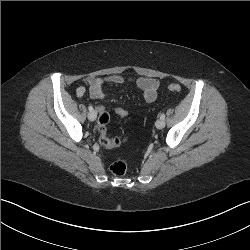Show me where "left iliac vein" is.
<instances>
[{"label":"left iliac vein","mask_w":250,"mask_h":250,"mask_svg":"<svg viewBox=\"0 0 250 250\" xmlns=\"http://www.w3.org/2000/svg\"><path fill=\"white\" fill-rule=\"evenodd\" d=\"M155 125L158 129H162L165 127V121L160 118L156 121Z\"/></svg>","instance_id":"left-iliac-vein-1"}]
</instances>
